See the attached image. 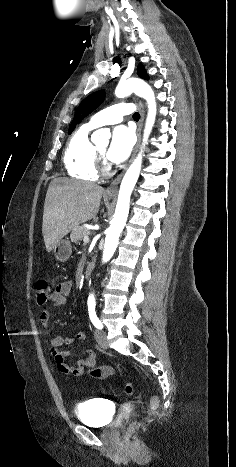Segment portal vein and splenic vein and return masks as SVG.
I'll use <instances>...</instances> for the list:
<instances>
[{
    "label": "portal vein and splenic vein",
    "instance_id": "1",
    "mask_svg": "<svg viewBox=\"0 0 236 467\" xmlns=\"http://www.w3.org/2000/svg\"><path fill=\"white\" fill-rule=\"evenodd\" d=\"M83 241L85 243H88L89 242V236L88 235L84 236Z\"/></svg>",
    "mask_w": 236,
    "mask_h": 467
}]
</instances>
